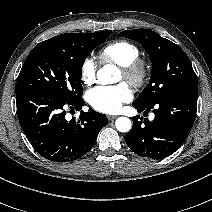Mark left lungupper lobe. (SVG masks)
<instances>
[{
    "mask_svg": "<svg viewBox=\"0 0 212 212\" xmlns=\"http://www.w3.org/2000/svg\"><path fill=\"white\" fill-rule=\"evenodd\" d=\"M119 35L141 43L152 62L150 83L133 103L148 106L174 91L198 87L191 62L178 45L148 29L126 30Z\"/></svg>",
    "mask_w": 212,
    "mask_h": 212,
    "instance_id": "obj_1",
    "label": "left lung upper lobe"
}]
</instances>
